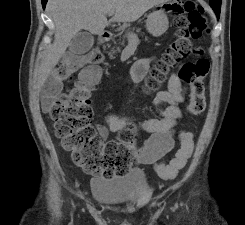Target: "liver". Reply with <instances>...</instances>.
I'll use <instances>...</instances> for the list:
<instances>
[{
	"mask_svg": "<svg viewBox=\"0 0 245 225\" xmlns=\"http://www.w3.org/2000/svg\"><path fill=\"white\" fill-rule=\"evenodd\" d=\"M168 0H49L46 10L54 25L53 44L48 48L38 71V82L44 84L52 69L64 55L72 38L82 29L95 35L104 33L109 25L108 12L113 11V22H134L146 11Z\"/></svg>",
	"mask_w": 245,
	"mask_h": 225,
	"instance_id": "6515ba94",
	"label": "liver"
}]
</instances>
